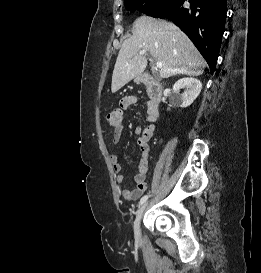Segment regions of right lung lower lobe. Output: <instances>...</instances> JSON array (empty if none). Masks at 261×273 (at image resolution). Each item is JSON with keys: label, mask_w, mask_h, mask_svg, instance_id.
Segmentation results:
<instances>
[{"label": "right lung lower lobe", "mask_w": 261, "mask_h": 273, "mask_svg": "<svg viewBox=\"0 0 261 273\" xmlns=\"http://www.w3.org/2000/svg\"><path fill=\"white\" fill-rule=\"evenodd\" d=\"M172 0L152 15L172 20L194 43L207 61L211 73L216 62L225 31L227 0Z\"/></svg>", "instance_id": "obj_1"}]
</instances>
